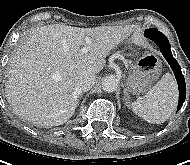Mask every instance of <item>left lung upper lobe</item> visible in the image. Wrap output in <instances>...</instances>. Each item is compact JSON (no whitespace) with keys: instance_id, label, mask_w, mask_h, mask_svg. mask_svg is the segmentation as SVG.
Wrapping results in <instances>:
<instances>
[{"instance_id":"obj_1","label":"left lung upper lobe","mask_w":190,"mask_h":165,"mask_svg":"<svg viewBox=\"0 0 190 165\" xmlns=\"http://www.w3.org/2000/svg\"><path fill=\"white\" fill-rule=\"evenodd\" d=\"M158 33H160L157 29H155V28H150V29H147V30H145V32H144V34H145V36L146 37H150V36H152V35H155V34H158Z\"/></svg>"}]
</instances>
